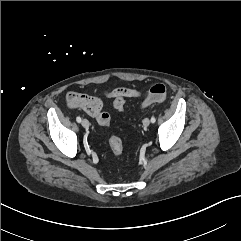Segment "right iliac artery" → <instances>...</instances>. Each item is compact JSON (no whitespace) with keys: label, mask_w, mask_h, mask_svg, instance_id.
<instances>
[{"label":"right iliac artery","mask_w":241,"mask_h":241,"mask_svg":"<svg viewBox=\"0 0 241 241\" xmlns=\"http://www.w3.org/2000/svg\"><path fill=\"white\" fill-rule=\"evenodd\" d=\"M76 121H77L78 123H80V122H81V117L78 116V117L76 118Z\"/></svg>","instance_id":"82829eb1"}]
</instances>
